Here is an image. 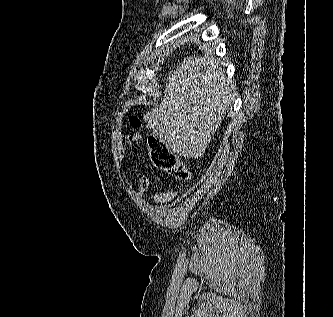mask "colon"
Here are the masks:
<instances>
[{"instance_id":"colon-1","label":"colon","mask_w":333,"mask_h":317,"mask_svg":"<svg viewBox=\"0 0 333 317\" xmlns=\"http://www.w3.org/2000/svg\"><path fill=\"white\" fill-rule=\"evenodd\" d=\"M130 124L133 127H140V121L137 117L130 118ZM147 148L150 160L160 170L179 181L190 179L191 173L188 166L154 134L147 137Z\"/></svg>"}]
</instances>
